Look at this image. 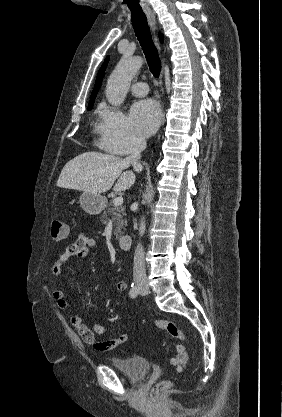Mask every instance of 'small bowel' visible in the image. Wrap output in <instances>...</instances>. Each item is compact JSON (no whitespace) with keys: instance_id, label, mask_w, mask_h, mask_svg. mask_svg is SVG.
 <instances>
[{"instance_id":"1","label":"small bowel","mask_w":282,"mask_h":417,"mask_svg":"<svg viewBox=\"0 0 282 417\" xmlns=\"http://www.w3.org/2000/svg\"><path fill=\"white\" fill-rule=\"evenodd\" d=\"M96 245L97 243L94 238L89 236L86 232H80L77 235L76 241L58 255L51 269L52 274L56 277L60 276L70 259L74 257H85L89 250L95 248ZM75 275L77 278H80L81 272L76 269ZM115 288L118 292H125L127 290V284L124 281H118L115 284ZM52 296L60 309L66 310L69 307V302L62 289L53 290ZM71 324L83 342L86 343L93 351L98 353L110 352L116 349L120 344L126 342L129 338V333L124 332L119 337L114 339H98L97 336H103L107 333L109 326L94 324L92 327H89L80 315L72 316Z\"/></svg>"}]
</instances>
